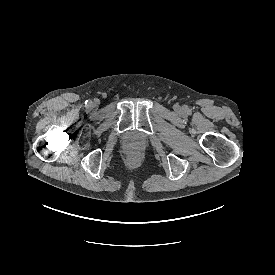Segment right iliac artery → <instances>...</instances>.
I'll return each instance as SVG.
<instances>
[{"label":"right iliac artery","instance_id":"obj_1","mask_svg":"<svg viewBox=\"0 0 275 275\" xmlns=\"http://www.w3.org/2000/svg\"><path fill=\"white\" fill-rule=\"evenodd\" d=\"M90 103H91V102H90L89 100H86V101H85V105H86V106H89Z\"/></svg>","mask_w":275,"mask_h":275}]
</instances>
